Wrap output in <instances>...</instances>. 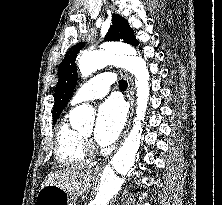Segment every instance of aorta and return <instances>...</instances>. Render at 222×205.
Masks as SVG:
<instances>
[{
    "mask_svg": "<svg viewBox=\"0 0 222 205\" xmlns=\"http://www.w3.org/2000/svg\"><path fill=\"white\" fill-rule=\"evenodd\" d=\"M108 65H119L126 68L136 77L137 87V119L133 129L125 139L119 151L103 169L100 181L95 190V205H107L122 190L129 172L134 167L143 147L141 121L144 120L151 91L149 72L136 50L129 45L109 43L102 49L83 52L79 60L82 77H88L98 69ZM73 128L93 127L94 109L90 105H80L70 113Z\"/></svg>",
    "mask_w": 222,
    "mask_h": 205,
    "instance_id": "762f6f07",
    "label": "aorta"
}]
</instances>
